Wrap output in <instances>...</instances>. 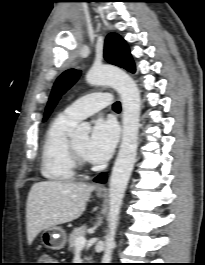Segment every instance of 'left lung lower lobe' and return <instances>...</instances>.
Wrapping results in <instances>:
<instances>
[{"instance_id": "0a47b994", "label": "left lung lower lobe", "mask_w": 205, "mask_h": 265, "mask_svg": "<svg viewBox=\"0 0 205 265\" xmlns=\"http://www.w3.org/2000/svg\"><path fill=\"white\" fill-rule=\"evenodd\" d=\"M95 182H98V183H105L106 181V173H102L100 174L99 176H97L95 179H94Z\"/></svg>"}]
</instances>
